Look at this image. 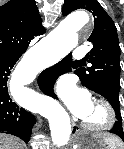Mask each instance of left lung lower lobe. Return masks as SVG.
Here are the masks:
<instances>
[{
    "mask_svg": "<svg viewBox=\"0 0 124 149\" xmlns=\"http://www.w3.org/2000/svg\"><path fill=\"white\" fill-rule=\"evenodd\" d=\"M71 60L72 57L71 54H69L59 63L44 70L40 74L38 78V84L43 93L57 99V96L54 94L53 91L54 83L60 75L67 73L71 70ZM110 132L120 137L124 142V132L121 121L117 120Z\"/></svg>",
    "mask_w": 124,
    "mask_h": 149,
    "instance_id": "0a47b994",
    "label": "left lung lower lobe"
}]
</instances>
